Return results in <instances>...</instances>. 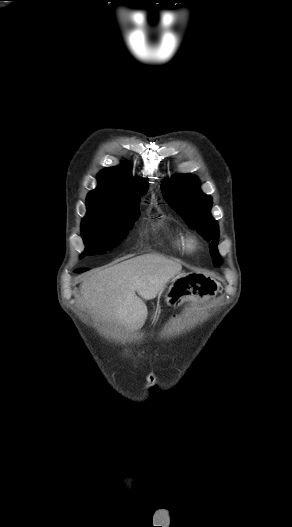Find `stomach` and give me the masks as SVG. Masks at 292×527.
<instances>
[{
  "mask_svg": "<svg viewBox=\"0 0 292 527\" xmlns=\"http://www.w3.org/2000/svg\"><path fill=\"white\" fill-rule=\"evenodd\" d=\"M218 289L219 284L214 279L197 273H188L172 280L165 298L168 305L177 306L189 298L210 297L216 294Z\"/></svg>",
  "mask_w": 292,
  "mask_h": 527,
  "instance_id": "stomach-1",
  "label": "stomach"
}]
</instances>
